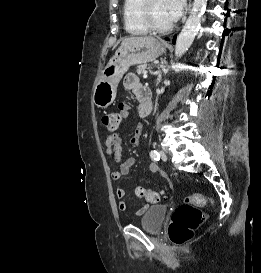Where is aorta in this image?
I'll list each match as a JSON object with an SVG mask.
<instances>
[{
	"label": "aorta",
	"instance_id": "1",
	"mask_svg": "<svg viewBox=\"0 0 261 273\" xmlns=\"http://www.w3.org/2000/svg\"><path fill=\"white\" fill-rule=\"evenodd\" d=\"M207 0H194L191 13L175 44V57L181 58L191 46L201 23Z\"/></svg>",
	"mask_w": 261,
	"mask_h": 273
}]
</instances>
